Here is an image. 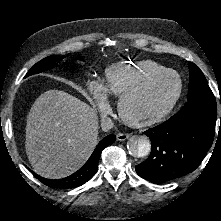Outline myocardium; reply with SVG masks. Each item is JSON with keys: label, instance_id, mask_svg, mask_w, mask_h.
<instances>
[{"label": "myocardium", "instance_id": "f54148a6", "mask_svg": "<svg viewBox=\"0 0 221 221\" xmlns=\"http://www.w3.org/2000/svg\"><path fill=\"white\" fill-rule=\"evenodd\" d=\"M169 75L176 76L178 88L168 103L153 113L145 115L135 114L131 109L132 103L149 91L154 84ZM182 90L183 82L180 75L176 71L167 69L163 72L155 74L141 85L129 90L121 96L118 106L120 116L127 124L133 127H144L157 124L163 121L172 112L181 97Z\"/></svg>", "mask_w": 221, "mask_h": 221}]
</instances>
